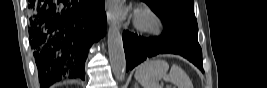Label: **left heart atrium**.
Wrapping results in <instances>:
<instances>
[{"label":"left heart atrium","mask_w":267,"mask_h":88,"mask_svg":"<svg viewBox=\"0 0 267 88\" xmlns=\"http://www.w3.org/2000/svg\"><path fill=\"white\" fill-rule=\"evenodd\" d=\"M111 9H112L113 15L119 18L123 17L126 13L125 8L118 2H114L112 4Z\"/></svg>","instance_id":"1"}]
</instances>
